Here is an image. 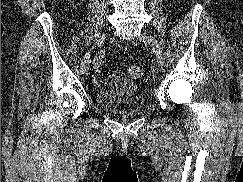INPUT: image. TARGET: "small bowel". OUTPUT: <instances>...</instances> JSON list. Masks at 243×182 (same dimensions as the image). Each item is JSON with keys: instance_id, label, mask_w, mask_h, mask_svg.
I'll list each match as a JSON object with an SVG mask.
<instances>
[{"instance_id": "1", "label": "small bowel", "mask_w": 243, "mask_h": 182, "mask_svg": "<svg viewBox=\"0 0 243 182\" xmlns=\"http://www.w3.org/2000/svg\"><path fill=\"white\" fill-rule=\"evenodd\" d=\"M103 59L104 54H100L94 59L93 70L95 73L99 72L103 63ZM94 81L97 85H101L103 83L98 75L94 77ZM111 81L115 83L116 90L120 92H129L133 88V85L130 81L126 79H121L118 75H114Z\"/></svg>"}]
</instances>
